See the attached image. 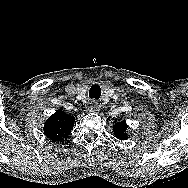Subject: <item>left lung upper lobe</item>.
<instances>
[{"mask_svg": "<svg viewBox=\"0 0 188 188\" xmlns=\"http://www.w3.org/2000/svg\"><path fill=\"white\" fill-rule=\"evenodd\" d=\"M127 124L125 120L118 122L117 124L114 125V135L120 139V140H126L128 139V135L126 133L127 130Z\"/></svg>", "mask_w": 188, "mask_h": 188, "instance_id": "obj_1", "label": "left lung upper lobe"}]
</instances>
